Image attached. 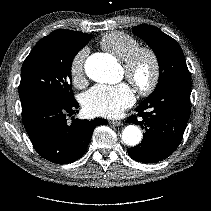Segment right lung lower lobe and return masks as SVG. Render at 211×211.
Masks as SVG:
<instances>
[{"label":"right lung lower lobe","instance_id":"obj_1","mask_svg":"<svg viewBox=\"0 0 211 211\" xmlns=\"http://www.w3.org/2000/svg\"><path fill=\"white\" fill-rule=\"evenodd\" d=\"M74 99L61 102L43 99L22 108V120L26 132L40 156L56 164H68L78 160L86 151L95 127L107 124V120L74 119L67 117L78 112Z\"/></svg>","mask_w":211,"mask_h":211}]
</instances>
